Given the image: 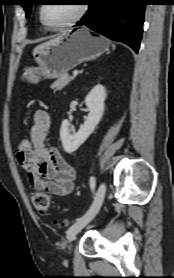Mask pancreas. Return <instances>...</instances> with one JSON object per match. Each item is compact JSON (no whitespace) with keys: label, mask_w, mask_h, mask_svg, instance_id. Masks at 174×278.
Segmentation results:
<instances>
[{"label":"pancreas","mask_w":174,"mask_h":278,"mask_svg":"<svg viewBox=\"0 0 174 278\" xmlns=\"http://www.w3.org/2000/svg\"><path fill=\"white\" fill-rule=\"evenodd\" d=\"M73 79L74 77L68 75L67 73L63 74L51 85V88L55 91H60Z\"/></svg>","instance_id":"pancreas-1"}]
</instances>
